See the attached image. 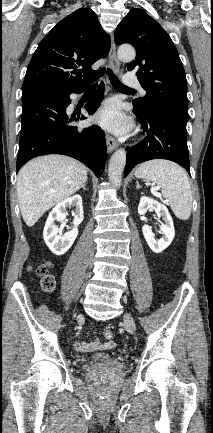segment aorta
I'll return each mask as SVG.
<instances>
[{"instance_id": "762f6f07", "label": "aorta", "mask_w": 213, "mask_h": 433, "mask_svg": "<svg viewBox=\"0 0 213 433\" xmlns=\"http://www.w3.org/2000/svg\"><path fill=\"white\" fill-rule=\"evenodd\" d=\"M135 50L132 46L122 45L118 48L117 56L121 61H131L135 58ZM126 165L125 149H118L111 157L108 166V176L110 182L115 187H120L122 182V174Z\"/></svg>"}]
</instances>
